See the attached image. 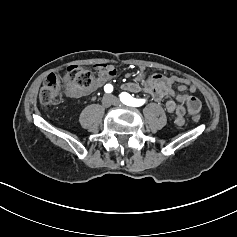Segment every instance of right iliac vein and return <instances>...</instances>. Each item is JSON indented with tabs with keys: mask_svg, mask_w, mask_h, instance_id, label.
I'll return each mask as SVG.
<instances>
[{
	"mask_svg": "<svg viewBox=\"0 0 237 237\" xmlns=\"http://www.w3.org/2000/svg\"><path fill=\"white\" fill-rule=\"evenodd\" d=\"M113 103V99L111 97V95H105L102 99V104L105 107H109L110 105H112Z\"/></svg>",
	"mask_w": 237,
	"mask_h": 237,
	"instance_id": "right-iliac-vein-1",
	"label": "right iliac vein"
}]
</instances>
